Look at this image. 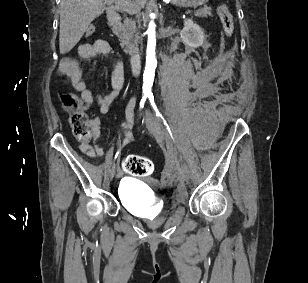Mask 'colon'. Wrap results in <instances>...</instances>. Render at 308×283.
<instances>
[{"label": "colon", "instance_id": "colon-1", "mask_svg": "<svg viewBox=\"0 0 308 283\" xmlns=\"http://www.w3.org/2000/svg\"><path fill=\"white\" fill-rule=\"evenodd\" d=\"M217 14L225 35L231 37L234 31V20L229 9L225 4H220ZM94 32L95 27L90 25L86 30V35L91 36ZM60 101L64 110L69 114L74 137L80 141H88L92 137L93 130L81 99L72 92H64L60 94ZM122 167L126 173L134 176H148L154 171L153 162L149 158L139 155L125 157Z\"/></svg>", "mask_w": 308, "mask_h": 283}]
</instances>
